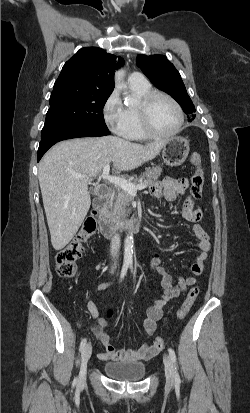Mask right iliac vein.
<instances>
[{
	"mask_svg": "<svg viewBox=\"0 0 250 413\" xmlns=\"http://www.w3.org/2000/svg\"><path fill=\"white\" fill-rule=\"evenodd\" d=\"M92 354L91 344H87L82 350L81 354V369H80V382H83L86 378L87 363Z\"/></svg>",
	"mask_w": 250,
	"mask_h": 413,
	"instance_id": "obj_1",
	"label": "right iliac vein"
}]
</instances>
